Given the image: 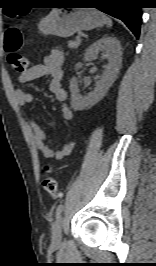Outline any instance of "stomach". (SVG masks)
<instances>
[{
	"instance_id": "stomach-1",
	"label": "stomach",
	"mask_w": 156,
	"mask_h": 266,
	"mask_svg": "<svg viewBox=\"0 0 156 266\" xmlns=\"http://www.w3.org/2000/svg\"><path fill=\"white\" fill-rule=\"evenodd\" d=\"M66 5L70 4L66 3ZM105 17L102 12L95 9L59 8L52 10L41 20L39 29L44 35L70 37L78 31L103 26Z\"/></svg>"
}]
</instances>
